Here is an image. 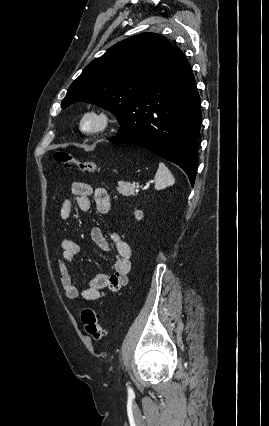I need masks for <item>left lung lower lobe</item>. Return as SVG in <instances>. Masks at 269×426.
Returning a JSON list of instances; mask_svg holds the SVG:
<instances>
[{"label":"left lung lower lobe","instance_id":"obj_1","mask_svg":"<svg viewBox=\"0 0 269 426\" xmlns=\"http://www.w3.org/2000/svg\"><path fill=\"white\" fill-rule=\"evenodd\" d=\"M201 119L191 66L175 46L151 78L149 88L128 105L119 132L109 141L144 147L177 164L193 186Z\"/></svg>","mask_w":269,"mask_h":426}]
</instances>
